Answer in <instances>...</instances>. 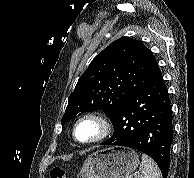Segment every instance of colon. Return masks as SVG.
I'll use <instances>...</instances> for the list:
<instances>
[{
    "instance_id": "colon-1",
    "label": "colon",
    "mask_w": 194,
    "mask_h": 178,
    "mask_svg": "<svg viewBox=\"0 0 194 178\" xmlns=\"http://www.w3.org/2000/svg\"><path fill=\"white\" fill-rule=\"evenodd\" d=\"M50 178H65V171L60 166H55L51 169Z\"/></svg>"
}]
</instances>
